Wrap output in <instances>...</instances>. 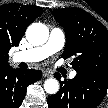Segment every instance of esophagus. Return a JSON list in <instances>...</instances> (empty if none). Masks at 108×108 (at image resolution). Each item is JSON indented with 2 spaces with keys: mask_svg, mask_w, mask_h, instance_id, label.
<instances>
[{
  "mask_svg": "<svg viewBox=\"0 0 108 108\" xmlns=\"http://www.w3.org/2000/svg\"><path fill=\"white\" fill-rule=\"evenodd\" d=\"M43 76L44 77H52V73L49 71H43Z\"/></svg>",
  "mask_w": 108,
  "mask_h": 108,
  "instance_id": "34e87169",
  "label": "esophagus"
}]
</instances>
